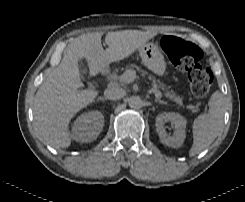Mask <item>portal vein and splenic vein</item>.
Masks as SVG:
<instances>
[{"label":"portal vein and splenic vein","instance_id":"18ae733b","mask_svg":"<svg viewBox=\"0 0 245 202\" xmlns=\"http://www.w3.org/2000/svg\"><path fill=\"white\" fill-rule=\"evenodd\" d=\"M136 79V72L134 70H126L120 77L119 80L122 83H130L133 82ZM153 93L155 94V96L157 98H161L162 97V93L157 90L156 88L153 89Z\"/></svg>","mask_w":245,"mask_h":202}]
</instances>
